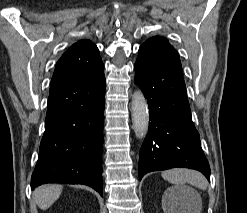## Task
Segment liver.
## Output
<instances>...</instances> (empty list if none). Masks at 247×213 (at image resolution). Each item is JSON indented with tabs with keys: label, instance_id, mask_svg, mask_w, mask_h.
Here are the masks:
<instances>
[{
	"label": "liver",
	"instance_id": "liver-1",
	"mask_svg": "<svg viewBox=\"0 0 247 213\" xmlns=\"http://www.w3.org/2000/svg\"><path fill=\"white\" fill-rule=\"evenodd\" d=\"M62 188L58 184L38 187L34 191V198L38 207L42 210L48 209L60 197Z\"/></svg>",
	"mask_w": 247,
	"mask_h": 213
}]
</instances>
